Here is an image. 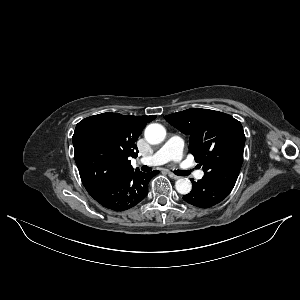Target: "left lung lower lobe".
<instances>
[{
    "label": "left lung lower lobe",
    "mask_w": 300,
    "mask_h": 300,
    "mask_svg": "<svg viewBox=\"0 0 300 300\" xmlns=\"http://www.w3.org/2000/svg\"><path fill=\"white\" fill-rule=\"evenodd\" d=\"M191 181L193 188L189 194L183 196V199L199 208H209L220 203L233 189L228 185L204 177L198 182L193 179Z\"/></svg>",
    "instance_id": "obj_1"
}]
</instances>
